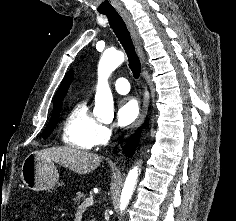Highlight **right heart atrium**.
<instances>
[{"label": "right heart atrium", "mask_w": 236, "mask_h": 221, "mask_svg": "<svg viewBox=\"0 0 236 221\" xmlns=\"http://www.w3.org/2000/svg\"><path fill=\"white\" fill-rule=\"evenodd\" d=\"M113 135V129L107 124H99L96 134V145L106 143Z\"/></svg>", "instance_id": "right-heart-atrium-1"}]
</instances>
